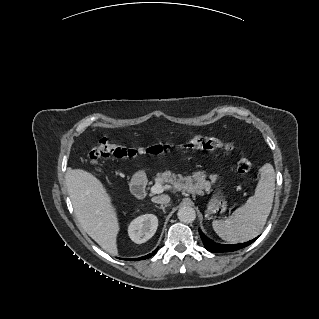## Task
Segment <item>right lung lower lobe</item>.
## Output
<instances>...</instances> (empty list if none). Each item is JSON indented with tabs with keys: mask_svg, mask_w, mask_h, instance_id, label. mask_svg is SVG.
<instances>
[{
	"mask_svg": "<svg viewBox=\"0 0 319 319\" xmlns=\"http://www.w3.org/2000/svg\"><path fill=\"white\" fill-rule=\"evenodd\" d=\"M157 250H158V248L155 249L152 253H150V254H148L146 256H143V257H140V258H135V260H142V259L150 258L151 256H154L157 253ZM129 260H134V259H129Z\"/></svg>",
	"mask_w": 319,
	"mask_h": 319,
	"instance_id": "right-lung-lower-lobe-1",
	"label": "right lung lower lobe"
}]
</instances>
